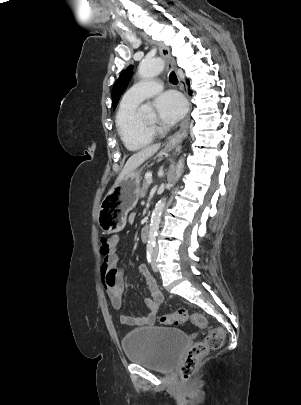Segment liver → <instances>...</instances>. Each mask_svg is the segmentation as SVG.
Returning <instances> with one entry per match:
<instances>
[{
	"label": "liver",
	"mask_w": 301,
	"mask_h": 405,
	"mask_svg": "<svg viewBox=\"0 0 301 405\" xmlns=\"http://www.w3.org/2000/svg\"><path fill=\"white\" fill-rule=\"evenodd\" d=\"M161 147V144H154L143 148L139 152L133 154L126 162L124 168L116 179L115 183H119L131 172L136 170L143 162L153 156Z\"/></svg>",
	"instance_id": "6515ba94"
}]
</instances>
